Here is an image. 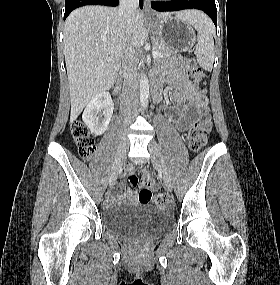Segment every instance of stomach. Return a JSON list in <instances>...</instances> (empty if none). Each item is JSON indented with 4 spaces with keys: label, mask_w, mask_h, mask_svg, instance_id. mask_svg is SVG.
I'll return each mask as SVG.
<instances>
[{
    "label": "stomach",
    "mask_w": 280,
    "mask_h": 285,
    "mask_svg": "<svg viewBox=\"0 0 280 285\" xmlns=\"http://www.w3.org/2000/svg\"><path fill=\"white\" fill-rule=\"evenodd\" d=\"M158 39L176 51H188L196 41L190 22L180 17L167 16L150 22Z\"/></svg>",
    "instance_id": "1"
}]
</instances>
